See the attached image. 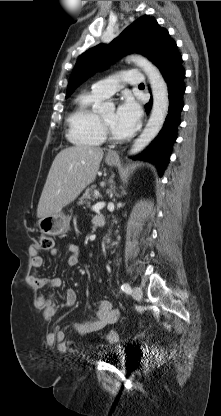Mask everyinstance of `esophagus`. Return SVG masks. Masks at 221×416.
Masks as SVG:
<instances>
[{"label": "esophagus", "instance_id": "34e87169", "mask_svg": "<svg viewBox=\"0 0 221 416\" xmlns=\"http://www.w3.org/2000/svg\"><path fill=\"white\" fill-rule=\"evenodd\" d=\"M107 157H109V158H119V155H118L117 152L111 151L107 154Z\"/></svg>", "mask_w": 221, "mask_h": 416}]
</instances>
